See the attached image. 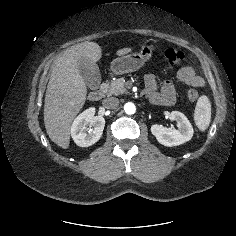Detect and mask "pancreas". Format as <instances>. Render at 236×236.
I'll return each instance as SVG.
<instances>
[{
  "mask_svg": "<svg viewBox=\"0 0 236 236\" xmlns=\"http://www.w3.org/2000/svg\"><path fill=\"white\" fill-rule=\"evenodd\" d=\"M104 91L107 96L126 93L127 89L125 87L124 78H118L110 83L104 84Z\"/></svg>",
  "mask_w": 236,
  "mask_h": 236,
  "instance_id": "obj_1",
  "label": "pancreas"
}]
</instances>
